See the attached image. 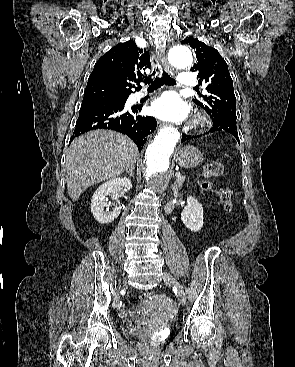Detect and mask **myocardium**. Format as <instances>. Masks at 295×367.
<instances>
[{"label":"myocardium","instance_id":"myocardium-1","mask_svg":"<svg viewBox=\"0 0 295 367\" xmlns=\"http://www.w3.org/2000/svg\"><path fill=\"white\" fill-rule=\"evenodd\" d=\"M207 124V120L204 117H200L196 122L195 125L198 128H204Z\"/></svg>","mask_w":295,"mask_h":367}]
</instances>
